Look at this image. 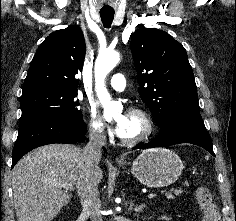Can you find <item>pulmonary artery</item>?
<instances>
[{
  "instance_id": "1",
  "label": "pulmonary artery",
  "mask_w": 236,
  "mask_h": 221,
  "mask_svg": "<svg viewBox=\"0 0 236 221\" xmlns=\"http://www.w3.org/2000/svg\"><path fill=\"white\" fill-rule=\"evenodd\" d=\"M109 84L112 89L118 92L124 91L126 88L125 76L121 73H116L110 78Z\"/></svg>"
}]
</instances>
